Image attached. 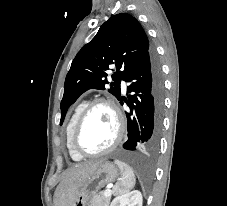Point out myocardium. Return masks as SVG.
Returning a JSON list of instances; mask_svg holds the SVG:
<instances>
[{"label":"myocardium","mask_w":227,"mask_h":206,"mask_svg":"<svg viewBox=\"0 0 227 206\" xmlns=\"http://www.w3.org/2000/svg\"><path fill=\"white\" fill-rule=\"evenodd\" d=\"M98 105H106L112 110L116 119L117 133H116L115 139L107 148L98 152H87L80 147L78 142V137L86 117L88 116L90 111ZM124 134H125V120L120 107L111 98L99 97L88 102L87 105L81 111L72 131L71 145L73 150L82 157H98V156L105 155L111 152L112 150H114L121 143L124 137Z\"/></svg>","instance_id":"obj_1"}]
</instances>
